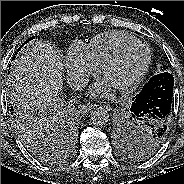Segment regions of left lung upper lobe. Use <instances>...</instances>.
Returning <instances> with one entry per match:
<instances>
[{
	"mask_svg": "<svg viewBox=\"0 0 184 184\" xmlns=\"http://www.w3.org/2000/svg\"><path fill=\"white\" fill-rule=\"evenodd\" d=\"M162 72H167L165 65ZM115 132L123 154L139 160L154 154L168 135V131L159 133L157 128L154 129L145 122L134 118L130 112L116 123Z\"/></svg>",
	"mask_w": 184,
	"mask_h": 184,
	"instance_id": "obj_1",
	"label": "left lung upper lobe"
}]
</instances>
